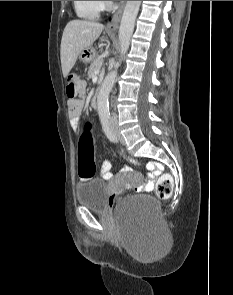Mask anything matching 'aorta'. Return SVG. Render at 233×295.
I'll return each mask as SVG.
<instances>
[{
    "instance_id": "obj_1",
    "label": "aorta",
    "mask_w": 233,
    "mask_h": 295,
    "mask_svg": "<svg viewBox=\"0 0 233 295\" xmlns=\"http://www.w3.org/2000/svg\"><path fill=\"white\" fill-rule=\"evenodd\" d=\"M141 1H127L119 27L120 57L116 66H120L123 56L129 49L130 39L133 34L135 20L139 11ZM117 71H111L105 78L100 89L97 106L100 115H109V93L115 83Z\"/></svg>"
}]
</instances>
